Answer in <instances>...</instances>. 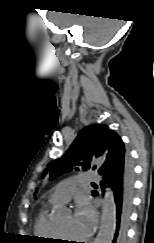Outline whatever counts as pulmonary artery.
Segmentation results:
<instances>
[{
	"label": "pulmonary artery",
	"mask_w": 154,
	"mask_h": 243,
	"mask_svg": "<svg viewBox=\"0 0 154 243\" xmlns=\"http://www.w3.org/2000/svg\"><path fill=\"white\" fill-rule=\"evenodd\" d=\"M97 180H99V175L97 172L82 173L77 179H69L58 184L53 189L50 200L54 203H66L74 196L80 185L85 182Z\"/></svg>",
	"instance_id": "pulmonary-artery-1"
}]
</instances>
